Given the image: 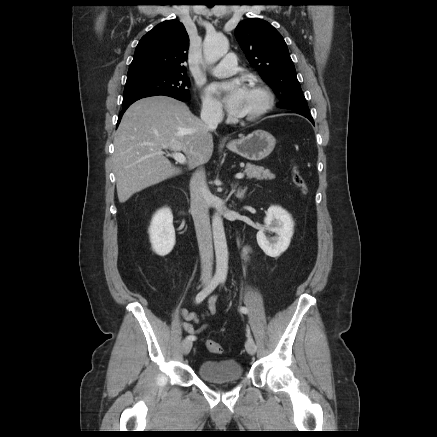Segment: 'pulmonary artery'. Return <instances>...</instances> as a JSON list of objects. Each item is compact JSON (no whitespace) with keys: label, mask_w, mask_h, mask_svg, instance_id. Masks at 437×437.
Masks as SVG:
<instances>
[{"label":"pulmonary artery","mask_w":437,"mask_h":437,"mask_svg":"<svg viewBox=\"0 0 437 437\" xmlns=\"http://www.w3.org/2000/svg\"><path fill=\"white\" fill-rule=\"evenodd\" d=\"M237 70V59L233 53H228L222 61L211 69V73L217 77L233 75Z\"/></svg>","instance_id":"1"}]
</instances>
